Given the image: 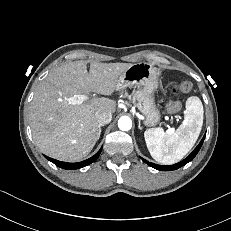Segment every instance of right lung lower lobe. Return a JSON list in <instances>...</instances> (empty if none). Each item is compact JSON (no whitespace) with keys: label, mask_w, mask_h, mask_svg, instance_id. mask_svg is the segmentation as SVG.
Listing matches in <instances>:
<instances>
[{"label":"right lung lower lobe","mask_w":231,"mask_h":231,"mask_svg":"<svg viewBox=\"0 0 231 231\" xmlns=\"http://www.w3.org/2000/svg\"><path fill=\"white\" fill-rule=\"evenodd\" d=\"M102 148L91 158L84 160L82 162H78V163H67V162H61L55 159H52L50 157L45 156L49 161H51L52 163H54L56 166L63 168V169H67V170H74V169H79L82 167H85L89 164H91L93 161H95L100 153H101Z\"/></svg>","instance_id":"obj_1"}]
</instances>
